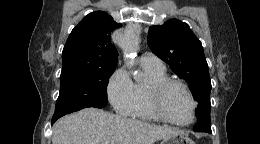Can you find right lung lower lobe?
<instances>
[{"label": "right lung lower lobe", "mask_w": 260, "mask_h": 144, "mask_svg": "<svg viewBox=\"0 0 260 144\" xmlns=\"http://www.w3.org/2000/svg\"><path fill=\"white\" fill-rule=\"evenodd\" d=\"M55 121H56L55 119H52V124H53Z\"/></svg>", "instance_id": "98d812e1"}]
</instances>
